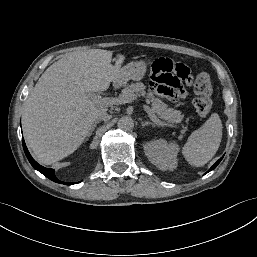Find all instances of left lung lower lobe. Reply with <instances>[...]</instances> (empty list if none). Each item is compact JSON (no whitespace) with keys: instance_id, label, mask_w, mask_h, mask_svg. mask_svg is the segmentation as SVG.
Wrapping results in <instances>:
<instances>
[{"instance_id":"obj_1","label":"left lung lower lobe","mask_w":257,"mask_h":257,"mask_svg":"<svg viewBox=\"0 0 257 257\" xmlns=\"http://www.w3.org/2000/svg\"><path fill=\"white\" fill-rule=\"evenodd\" d=\"M221 160H222V158L219 159V160L209 169V171L213 170V169L220 163ZM209 171H208V172H209Z\"/></svg>"}]
</instances>
